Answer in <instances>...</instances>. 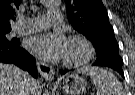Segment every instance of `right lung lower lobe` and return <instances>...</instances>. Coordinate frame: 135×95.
Instances as JSON below:
<instances>
[{
    "label": "right lung lower lobe",
    "instance_id": "obj_1",
    "mask_svg": "<svg viewBox=\"0 0 135 95\" xmlns=\"http://www.w3.org/2000/svg\"><path fill=\"white\" fill-rule=\"evenodd\" d=\"M0 62L17 65L37 78L35 58L20 47L19 39L0 44Z\"/></svg>",
    "mask_w": 135,
    "mask_h": 95
}]
</instances>
